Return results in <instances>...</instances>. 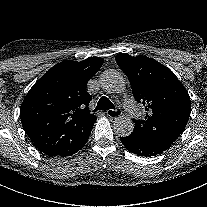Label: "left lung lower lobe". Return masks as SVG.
Returning <instances> with one entry per match:
<instances>
[{"instance_id": "left-lung-lower-lobe-1", "label": "left lung lower lobe", "mask_w": 207, "mask_h": 207, "mask_svg": "<svg viewBox=\"0 0 207 207\" xmlns=\"http://www.w3.org/2000/svg\"><path fill=\"white\" fill-rule=\"evenodd\" d=\"M120 140L126 149L138 156L151 157L164 151L145 140L142 136L129 135L127 137H120Z\"/></svg>"}]
</instances>
